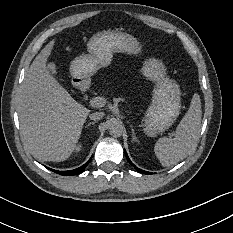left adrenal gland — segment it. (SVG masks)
Returning <instances> with one entry per match:
<instances>
[{
    "label": "left adrenal gland",
    "instance_id": "a2214340",
    "mask_svg": "<svg viewBox=\"0 0 233 233\" xmlns=\"http://www.w3.org/2000/svg\"><path fill=\"white\" fill-rule=\"evenodd\" d=\"M131 129H132V138H131V140L133 141L134 139L137 138V136H136V134H135V130H134V128H133L132 125H131Z\"/></svg>",
    "mask_w": 233,
    "mask_h": 233
}]
</instances>
